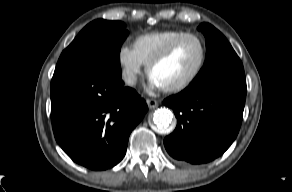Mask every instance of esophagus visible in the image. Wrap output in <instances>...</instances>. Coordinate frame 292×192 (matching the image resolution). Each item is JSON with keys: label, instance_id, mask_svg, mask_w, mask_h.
Segmentation results:
<instances>
[{"label": "esophagus", "instance_id": "1", "mask_svg": "<svg viewBox=\"0 0 292 192\" xmlns=\"http://www.w3.org/2000/svg\"><path fill=\"white\" fill-rule=\"evenodd\" d=\"M146 103L150 109H155L158 107V101L155 99H147Z\"/></svg>", "mask_w": 292, "mask_h": 192}]
</instances>
